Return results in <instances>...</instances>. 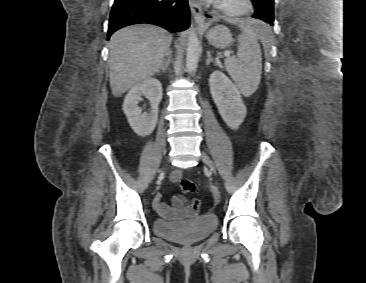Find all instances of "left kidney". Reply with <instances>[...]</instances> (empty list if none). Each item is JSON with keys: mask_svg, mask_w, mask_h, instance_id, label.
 <instances>
[{"mask_svg": "<svg viewBox=\"0 0 366 283\" xmlns=\"http://www.w3.org/2000/svg\"><path fill=\"white\" fill-rule=\"evenodd\" d=\"M209 86L214 103L225 123L233 130L238 129L247 111L237 86L218 70L211 74Z\"/></svg>", "mask_w": 366, "mask_h": 283, "instance_id": "left-kidney-1", "label": "left kidney"}]
</instances>
